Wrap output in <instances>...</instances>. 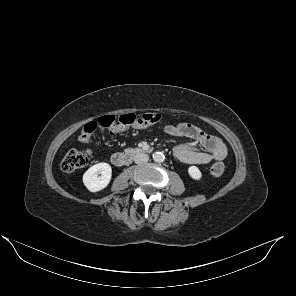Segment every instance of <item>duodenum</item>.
<instances>
[{
    "instance_id": "410a0bca",
    "label": "duodenum",
    "mask_w": 296,
    "mask_h": 296,
    "mask_svg": "<svg viewBox=\"0 0 296 296\" xmlns=\"http://www.w3.org/2000/svg\"><path fill=\"white\" fill-rule=\"evenodd\" d=\"M152 151L151 147H144L139 148L135 150H130L127 152H116L112 155V163L117 167H122L125 165H128L135 155L141 154V153H149Z\"/></svg>"
}]
</instances>
